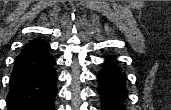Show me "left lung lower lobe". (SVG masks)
Returning <instances> with one entry per match:
<instances>
[{"label": "left lung lower lobe", "instance_id": "obj_1", "mask_svg": "<svg viewBox=\"0 0 171 110\" xmlns=\"http://www.w3.org/2000/svg\"><path fill=\"white\" fill-rule=\"evenodd\" d=\"M102 66L103 69L98 73V94L102 100V110H126V75L122 73L113 56L107 57Z\"/></svg>", "mask_w": 171, "mask_h": 110}]
</instances>
